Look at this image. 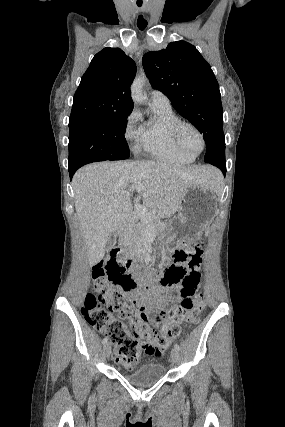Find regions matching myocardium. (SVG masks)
<instances>
[{
	"mask_svg": "<svg viewBox=\"0 0 285 427\" xmlns=\"http://www.w3.org/2000/svg\"><path fill=\"white\" fill-rule=\"evenodd\" d=\"M185 127H188V128H191L192 130H194L195 133L198 135V137L200 139L201 149L197 153H190L188 150H186V148L183 146V144H182V142L180 140V132ZM169 132H170V135L172 137V140H173L175 146L182 153L190 155L192 157H196V156L200 155L204 151L205 146H206L204 135L200 131V129L196 125H194L193 123L188 122V121L178 120V121L174 122L170 126Z\"/></svg>",
	"mask_w": 285,
	"mask_h": 427,
	"instance_id": "f54148a6",
	"label": "myocardium"
}]
</instances>
